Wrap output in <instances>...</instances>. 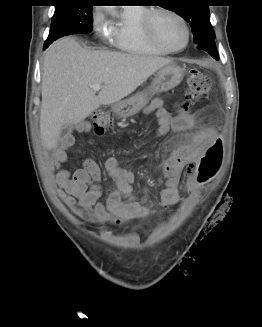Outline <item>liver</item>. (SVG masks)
Masks as SVG:
<instances>
[{"label": "liver", "mask_w": 262, "mask_h": 327, "mask_svg": "<svg viewBox=\"0 0 262 327\" xmlns=\"http://www.w3.org/2000/svg\"><path fill=\"white\" fill-rule=\"evenodd\" d=\"M169 58L88 50L72 37L49 46L43 62L40 134L43 146L56 148L65 126L75 125L100 105L119 102ZM102 85L98 95L92 85Z\"/></svg>", "instance_id": "liver-1"}]
</instances>
